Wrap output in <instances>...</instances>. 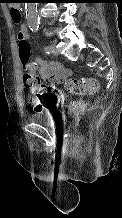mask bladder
<instances>
[{"label": "bladder", "mask_w": 122, "mask_h": 218, "mask_svg": "<svg viewBox=\"0 0 122 218\" xmlns=\"http://www.w3.org/2000/svg\"><path fill=\"white\" fill-rule=\"evenodd\" d=\"M31 118L40 122H46V119L41 114H33Z\"/></svg>", "instance_id": "31cf9c89"}]
</instances>
